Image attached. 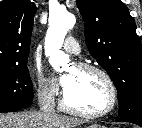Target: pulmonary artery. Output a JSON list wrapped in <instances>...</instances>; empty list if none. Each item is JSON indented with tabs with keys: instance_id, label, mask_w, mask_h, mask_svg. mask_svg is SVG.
<instances>
[{
	"instance_id": "obj_1",
	"label": "pulmonary artery",
	"mask_w": 142,
	"mask_h": 128,
	"mask_svg": "<svg viewBox=\"0 0 142 128\" xmlns=\"http://www.w3.org/2000/svg\"><path fill=\"white\" fill-rule=\"evenodd\" d=\"M63 48L65 51L71 54H79L80 53V46L76 39L72 36H69L65 39Z\"/></svg>"
}]
</instances>
